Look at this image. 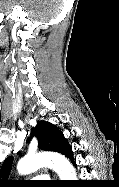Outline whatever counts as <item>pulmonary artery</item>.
Masks as SVG:
<instances>
[{"instance_id": "obj_1", "label": "pulmonary artery", "mask_w": 119, "mask_h": 187, "mask_svg": "<svg viewBox=\"0 0 119 187\" xmlns=\"http://www.w3.org/2000/svg\"><path fill=\"white\" fill-rule=\"evenodd\" d=\"M36 179H46L47 177L46 176H37L35 177Z\"/></svg>"}]
</instances>
